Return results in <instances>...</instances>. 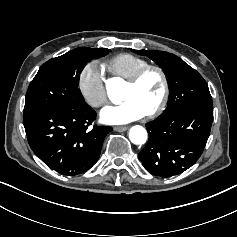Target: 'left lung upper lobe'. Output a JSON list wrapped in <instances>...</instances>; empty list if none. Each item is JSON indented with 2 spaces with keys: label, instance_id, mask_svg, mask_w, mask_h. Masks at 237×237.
<instances>
[{
  "label": "left lung upper lobe",
  "instance_id": "left-lung-upper-lobe-1",
  "mask_svg": "<svg viewBox=\"0 0 237 237\" xmlns=\"http://www.w3.org/2000/svg\"><path fill=\"white\" fill-rule=\"evenodd\" d=\"M131 51L156 62L166 74L170 86L167 108L157 119L146 124L149 142L139 153V159L143 165L162 163L155 170L156 176L178 175L187 169L171 163L176 160L197 161L211 128L201 120L174 122L167 117L176 111L213 109L208 85L195 69L174 54L155 50Z\"/></svg>",
  "mask_w": 237,
  "mask_h": 237
}]
</instances>
